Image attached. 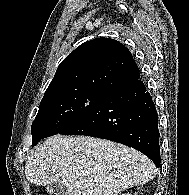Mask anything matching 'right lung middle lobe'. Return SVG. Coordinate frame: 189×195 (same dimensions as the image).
<instances>
[{
  "instance_id": "dd1d6c3e",
  "label": "right lung middle lobe",
  "mask_w": 189,
  "mask_h": 195,
  "mask_svg": "<svg viewBox=\"0 0 189 195\" xmlns=\"http://www.w3.org/2000/svg\"><path fill=\"white\" fill-rule=\"evenodd\" d=\"M110 92L76 88L44 95L32 124V146L42 138L61 134L82 120Z\"/></svg>"
}]
</instances>
